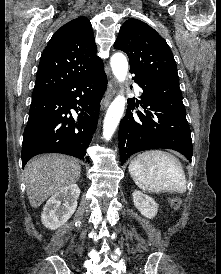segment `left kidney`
Wrapping results in <instances>:
<instances>
[{
    "instance_id": "left-kidney-1",
    "label": "left kidney",
    "mask_w": 221,
    "mask_h": 274,
    "mask_svg": "<svg viewBox=\"0 0 221 274\" xmlns=\"http://www.w3.org/2000/svg\"><path fill=\"white\" fill-rule=\"evenodd\" d=\"M132 196L135 207L143 216L149 219L155 217L158 211V204L154 201L152 197L138 190H135Z\"/></svg>"
}]
</instances>
